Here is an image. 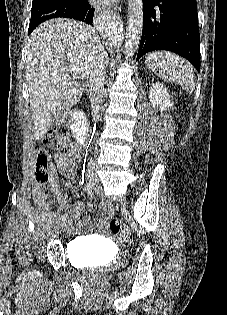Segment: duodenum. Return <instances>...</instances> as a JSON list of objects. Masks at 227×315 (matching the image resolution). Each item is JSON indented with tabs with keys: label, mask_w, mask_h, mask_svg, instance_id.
<instances>
[{
	"label": "duodenum",
	"mask_w": 227,
	"mask_h": 315,
	"mask_svg": "<svg viewBox=\"0 0 227 315\" xmlns=\"http://www.w3.org/2000/svg\"><path fill=\"white\" fill-rule=\"evenodd\" d=\"M72 129L77 142L81 145L86 143L87 133L89 130V122L86 114L76 110L71 115Z\"/></svg>",
	"instance_id": "410a0bca"
}]
</instances>
